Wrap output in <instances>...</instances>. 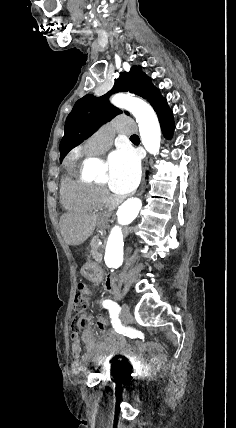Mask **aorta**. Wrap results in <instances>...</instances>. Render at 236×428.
<instances>
[{
    "instance_id": "1",
    "label": "aorta",
    "mask_w": 236,
    "mask_h": 428,
    "mask_svg": "<svg viewBox=\"0 0 236 428\" xmlns=\"http://www.w3.org/2000/svg\"><path fill=\"white\" fill-rule=\"evenodd\" d=\"M111 102L116 107L132 113L138 123L143 146L150 154L157 155L160 149L161 130L153 108L132 94H116ZM86 164L92 165L93 160L87 161ZM141 207L140 199L129 198L118 208V225L112 228L106 244L105 263L109 268H119L122 265L124 240L121 226L130 224L137 217Z\"/></svg>"
}]
</instances>
